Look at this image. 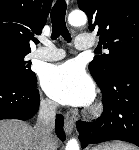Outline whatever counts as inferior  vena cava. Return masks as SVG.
<instances>
[{"label":"inferior vena cava","instance_id":"1","mask_svg":"<svg viewBox=\"0 0 139 150\" xmlns=\"http://www.w3.org/2000/svg\"><path fill=\"white\" fill-rule=\"evenodd\" d=\"M56 104L51 101H42L34 127L39 144V150H54L52 132L55 128Z\"/></svg>","mask_w":139,"mask_h":150}]
</instances>
